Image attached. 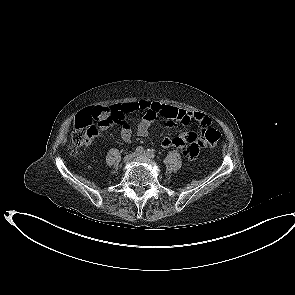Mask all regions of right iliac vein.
<instances>
[{
    "mask_svg": "<svg viewBox=\"0 0 295 295\" xmlns=\"http://www.w3.org/2000/svg\"><path fill=\"white\" fill-rule=\"evenodd\" d=\"M135 156H136L135 153H130V154H128V155H126V156L124 157L123 162H124V163H129L130 161L133 160V158H134Z\"/></svg>",
    "mask_w": 295,
    "mask_h": 295,
    "instance_id": "right-iliac-vein-1",
    "label": "right iliac vein"
}]
</instances>
